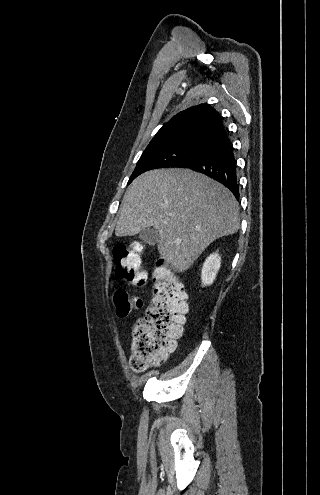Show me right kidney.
Here are the masks:
<instances>
[{"mask_svg": "<svg viewBox=\"0 0 320 495\" xmlns=\"http://www.w3.org/2000/svg\"><path fill=\"white\" fill-rule=\"evenodd\" d=\"M221 257L218 252L210 254L205 260L202 271L201 280L203 286H209L213 284L216 275L220 269Z\"/></svg>", "mask_w": 320, "mask_h": 495, "instance_id": "right-kidney-1", "label": "right kidney"}]
</instances>
